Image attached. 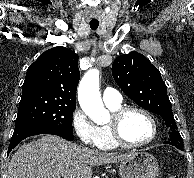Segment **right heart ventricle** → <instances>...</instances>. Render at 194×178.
I'll return each mask as SVG.
<instances>
[{
    "label": "right heart ventricle",
    "mask_w": 194,
    "mask_h": 178,
    "mask_svg": "<svg viewBox=\"0 0 194 178\" xmlns=\"http://www.w3.org/2000/svg\"><path fill=\"white\" fill-rule=\"evenodd\" d=\"M107 107L111 112H114L121 108V104L107 105ZM97 128H98V142L96 146L98 148L102 150H112L119 147L113 140L108 125H102Z\"/></svg>",
    "instance_id": "e07e8e85"
}]
</instances>
